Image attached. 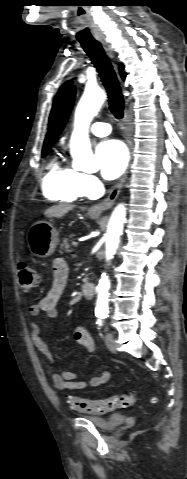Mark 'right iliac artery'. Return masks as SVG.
<instances>
[{"mask_svg": "<svg viewBox=\"0 0 187 479\" xmlns=\"http://www.w3.org/2000/svg\"><path fill=\"white\" fill-rule=\"evenodd\" d=\"M101 319H103V317H99V319L97 320V324H98L99 326H101V324H102Z\"/></svg>", "mask_w": 187, "mask_h": 479, "instance_id": "1", "label": "right iliac artery"}]
</instances>
